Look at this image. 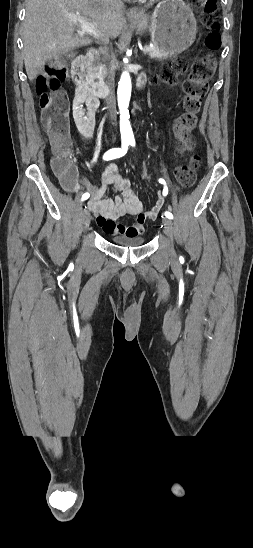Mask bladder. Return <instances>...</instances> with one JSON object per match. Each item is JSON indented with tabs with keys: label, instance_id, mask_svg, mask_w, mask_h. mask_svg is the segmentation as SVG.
<instances>
[{
	"label": "bladder",
	"instance_id": "obj_1",
	"mask_svg": "<svg viewBox=\"0 0 253 548\" xmlns=\"http://www.w3.org/2000/svg\"><path fill=\"white\" fill-rule=\"evenodd\" d=\"M113 243L120 246L138 247L145 243L142 235H115L112 237Z\"/></svg>",
	"mask_w": 253,
	"mask_h": 548
}]
</instances>
